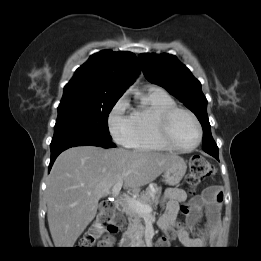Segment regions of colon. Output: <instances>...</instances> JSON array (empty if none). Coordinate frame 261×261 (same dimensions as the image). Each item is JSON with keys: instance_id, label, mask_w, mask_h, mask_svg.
I'll return each instance as SVG.
<instances>
[{"instance_id": "5ec220e1", "label": "colon", "mask_w": 261, "mask_h": 261, "mask_svg": "<svg viewBox=\"0 0 261 261\" xmlns=\"http://www.w3.org/2000/svg\"><path fill=\"white\" fill-rule=\"evenodd\" d=\"M214 172V167L205 158L199 155H195L191 158L190 171L187 176V182L191 186H197L207 177ZM114 204L110 200H104L100 205L99 213L95 219V222L82 240L81 246L83 248H89L95 244L101 247H107L112 243V238L108 235L103 236V232L108 227L110 221L114 215ZM166 241H162L161 244H165Z\"/></svg>"}]
</instances>
